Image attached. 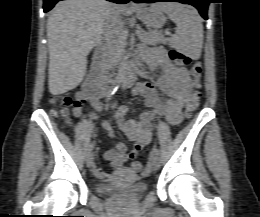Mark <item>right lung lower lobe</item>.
I'll return each instance as SVG.
<instances>
[{"label": "right lung lower lobe", "instance_id": "1", "mask_svg": "<svg viewBox=\"0 0 260 217\" xmlns=\"http://www.w3.org/2000/svg\"><path fill=\"white\" fill-rule=\"evenodd\" d=\"M58 1L61 0H44V6H43L44 12H48L49 10H51ZM108 1H112L119 4H125L132 0H108Z\"/></svg>", "mask_w": 260, "mask_h": 217}]
</instances>
